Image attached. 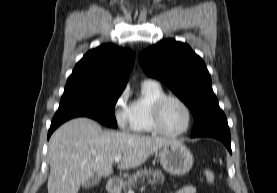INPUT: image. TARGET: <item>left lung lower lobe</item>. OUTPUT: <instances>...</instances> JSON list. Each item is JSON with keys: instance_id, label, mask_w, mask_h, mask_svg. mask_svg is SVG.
<instances>
[{"instance_id": "left-lung-lower-lobe-1", "label": "left lung lower lobe", "mask_w": 277, "mask_h": 193, "mask_svg": "<svg viewBox=\"0 0 277 193\" xmlns=\"http://www.w3.org/2000/svg\"><path fill=\"white\" fill-rule=\"evenodd\" d=\"M191 137H213L222 141L231 153V137L227 120L219 121L205 129L193 133Z\"/></svg>"}]
</instances>
